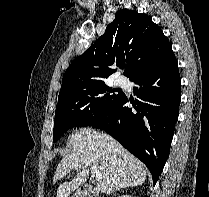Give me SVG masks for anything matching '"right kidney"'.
<instances>
[{
  "label": "right kidney",
  "mask_w": 209,
  "mask_h": 197,
  "mask_svg": "<svg viewBox=\"0 0 209 197\" xmlns=\"http://www.w3.org/2000/svg\"><path fill=\"white\" fill-rule=\"evenodd\" d=\"M119 197H132V196H130V195H121Z\"/></svg>",
  "instance_id": "ca27d5eb"
}]
</instances>
